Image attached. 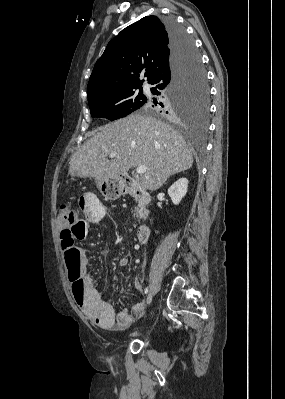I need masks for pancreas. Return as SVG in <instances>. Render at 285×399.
Wrapping results in <instances>:
<instances>
[{
	"instance_id": "cf45deb5",
	"label": "pancreas",
	"mask_w": 285,
	"mask_h": 399,
	"mask_svg": "<svg viewBox=\"0 0 285 399\" xmlns=\"http://www.w3.org/2000/svg\"><path fill=\"white\" fill-rule=\"evenodd\" d=\"M139 213H140V204H138V207L135 208L134 217L138 218L139 217Z\"/></svg>"
}]
</instances>
